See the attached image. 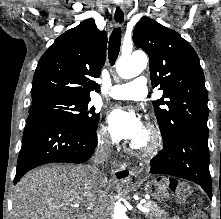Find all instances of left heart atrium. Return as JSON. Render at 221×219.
<instances>
[{
	"label": "left heart atrium",
	"mask_w": 221,
	"mask_h": 219,
	"mask_svg": "<svg viewBox=\"0 0 221 219\" xmlns=\"http://www.w3.org/2000/svg\"><path fill=\"white\" fill-rule=\"evenodd\" d=\"M109 132L115 141H133L143 130L142 122L132 109L116 108L108 115Z\"/></svg>",
	"instance_id": "1"
}]
</instances>
